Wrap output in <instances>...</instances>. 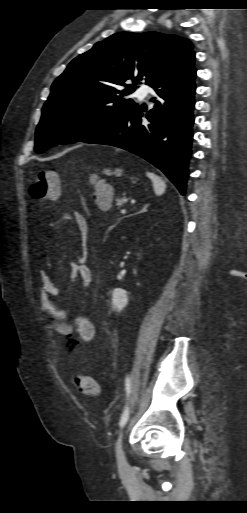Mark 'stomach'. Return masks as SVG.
Here are the masks:
<instances>
[{"label": "stomach", "instance_id": "obj_1", "mask_svg": "<svg viewBox=\"0 0 247 513\" xmlns=\"http://www.w3.org/2000/svg\"><path fill=\"white\" fill-rule=\"evenodd\" d=\"M106 175H115L117 177L121 176L123 174V170L122 169H115V170H111V169H104L103 171ZM132 180H135V177H132Z\"/></svg>", "mask_w": 247, "mask_h": 513}]
</instances>
